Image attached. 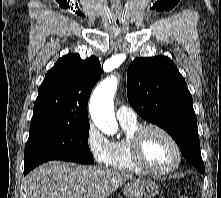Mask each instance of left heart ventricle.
<instances>
[{"mask_svg": "<svg viewBox=\"0 0 221 198\" xmlns=\"http://www.w3.org/2000/svg\"><path fill=\"white\" fill-rule=\"evenodd\" d=\"M143 153L146 162L156 169L171 167L176 161V151L163 134L150 131L145 135Z\"/></svg>", "mask_w": 221, "mask_h": 198, "instance_id": "obj_1", "label": "left heart ventricle"}]
</instances>
